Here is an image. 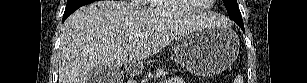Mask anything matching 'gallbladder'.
<instances>
[{
	"label": "gallbladder",
	"instance_id": "bac80fb5",
	"mask_svg": "<svg viewBox=\"0 0 307 83\" xmlns=\"http://www.w3.org/2000/svg\"><path fill=\"white\" fill-rule=\"evenodd\" d=\"M123 71L117 68L104 66L95 67L89 74L90 83H120Z\"/></svg>",
	"mask_w": 307,
	"mask_h": 83
}]
</instances>
